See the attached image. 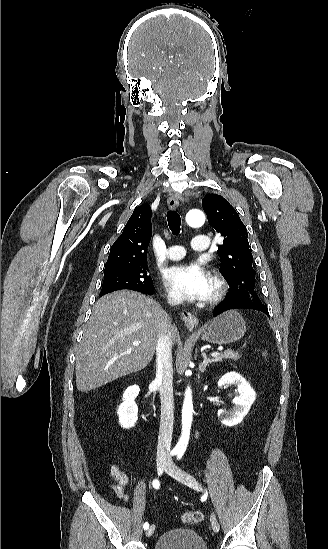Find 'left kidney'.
Returning <instances> with one entry per match:
<instances>
[{
  "label": "left kidney",
  "mask_w": 328,
  "mask_h": 549,
  "mask_svg": "<svg viewBox=\"0 0 328 549\" xmlns=\"http://www.w3.org/2000/svg\"><path fill=\"white\" fill-rule=\"evenodd\" d=\"M224 385H236L239 393V397H235L232 403L235 405L234 411H225V409H219L217 415L220 419L222 425H227V427H234L243 421L246 417L252 403L256 399V393L249 383L245 381L244 377L238 375V373H226L218 381V387H224Z\"/></svg>",
  "instance_id": "5707ae66"
}]
</instances>
